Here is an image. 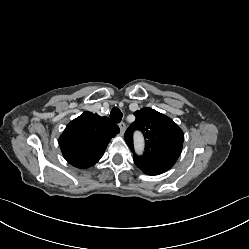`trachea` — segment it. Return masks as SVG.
Segmentation results:
<instances>
[{"mask_svg":"<svg viewBox=\"0 0 249 249\" xmlns=\"http://www.w3.org/2000/svg\"><path fill=\"white\" fill-rule=\"evenodd\" d=\"M122 116V112L118 108H113L110 112V118L115 123H119L122 120Z\"/></svg>","mask_w":249,"mask_h":249,"instance_id":"obj_1","label":"trachea"}]
</instances>
